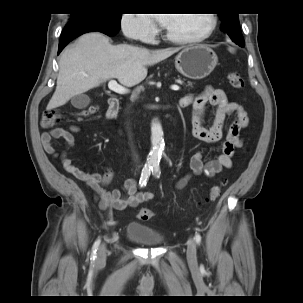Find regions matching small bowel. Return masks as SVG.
<instances>
[{
    "instance_id": "1",
    "label": "small bowel",
    "mask_w": 303,
    "mask_h": 303,
    "mask_svg": "<svg viewBox=\"0 0 303 303\" xmlns=\"http://www.w3.org/2000/svg\"><path fill=\"white\" fill-rule=\"evenodd\" d=\"M188 104L193 106L191 123L193 136L207 144L220 142L221 152L210 159H206L204 149L193 153L189 160L190 172L178 180L176 183L178 189L185 187L194 175L215 176L222 169L231 168L235 149L241 144V131L248 122V117L242 106L230 101L221 89L206 87L200 94L187 95L180 100L181 106ZM208 104L212 105L215 111L212 125L207 128L204 126V115ZM227 119H230V126L224 136L223 128ZM79 130L78 126L70 125L67 130L54 128L43 132L41 136L42 146L46 153L59 158L65 171L85 182L90 189L98 194L101 208L121 211L153 199V193L138 191V182L134 178L126 179L121 188L106 190L103 187L109 185L113 179V172L110 169H105L102 174H88L76 167L69 158L68 151L74 143L72 133H77ZM55 139L64 140L61 150L54 147L53 140Z\"/></svg>"
}]
</instances>
